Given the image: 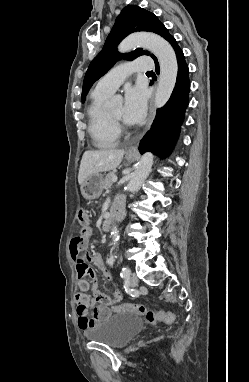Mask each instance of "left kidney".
Wrapping results in <instances>:
<instances>
[{
    "mask_svg": "<svg viewBox=\"0 0 249 382\" xmlns=\"http://www.w3.org/2000/svg\"><path fill=\"white\" fill-rule=\"evenodd\" d=\"M109 260H95L94 266L95 267H115L118 263L115 261L117 260V255L110 254Z\"/></svg>",
    "mask_w": 249,
    "mask_h": 382,
    "instance_id": "1",
    "label": "left kidney"
}]
</instances>
